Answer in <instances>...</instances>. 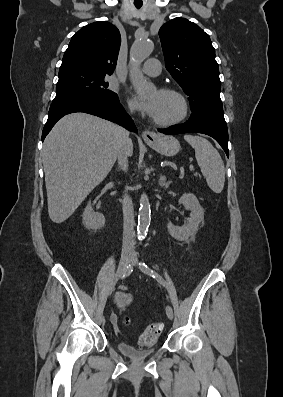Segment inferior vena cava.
<instances>
[{"label": "inferior vena cava", "mask_w": 283, "mask_h": 397, "mask_svg": "<svg viewBox=\"0 0 283 397\" xmlns=\"http://www.w3.org/2000/svg\"><path fill=\"white\" fill-rule=\"evenodd\" d=\"M120 136L122 140V147L118 153V163L123 171L128 170V161H127V147L130 143L129 132L125 129H121ZM123 206V249L131 250L133 248V229H134V208L132 199L125 195L122 201Z\"/></svg>", "instance_id": "obj_1"}]
</instances>
